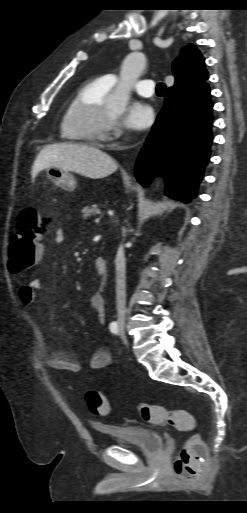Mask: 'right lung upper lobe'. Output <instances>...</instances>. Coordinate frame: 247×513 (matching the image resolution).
<instances>
[{"label":"right lung upper lobe","instance_id":"obj_1","mask_svg":"<svg viewBox=\"0 0 247 513\" xmlns=\"http://www.w3.org/2000/svg\"><path fill=\"white\" fill-rule=\"evenodd\" d=\"M172 69L175 84L169 89L173 91H195L206 84L208 79L204 58L193 44L182 48L180 56L173 62Z\"/></svg>","mask_w":247,"mask_h":513}]
</instances>
